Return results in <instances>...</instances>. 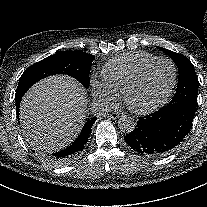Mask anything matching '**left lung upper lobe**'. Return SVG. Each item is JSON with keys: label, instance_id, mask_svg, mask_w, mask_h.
Instances as JSON below:
<instances>
[{"label": "left lung upper lobe", "instance_id": "left-lung-upper-lobe-1", "mask_svg": "<svg viewBox=\"0 0 207 207\" xmlns=\"http://www.w3.org/2000/svg\"><path fill=\"white\" fill-rule=\"evenodd\" d=\"M175 62L178 67L179 79L176 93L169 104L181 103L196 109L198 95V81L193 64L182 54L158 47Z\"/></svg>", "mask_w": 207, "mask_h": 207}]
</instances>
